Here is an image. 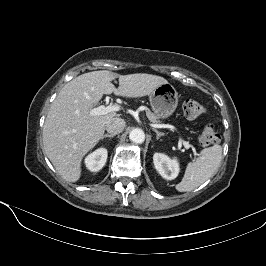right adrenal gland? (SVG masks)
<instances>
[{"label":"right adrenal gland","instance_id":"obj_1","mask_svg":"<svg viewBox=\"0 0 266 266\" xmlns=\"http://www.w3.org/2000/svg\"><path fill=\"white\" fill-rule=\"evenodd\" d=\"M114 136H116L115 134H105V135H103L102 137H101V139L103 140L104 138H107V137H109V138H113Z\"/></svg>","mask_w":266,"mask_h":266}]
</instances>
